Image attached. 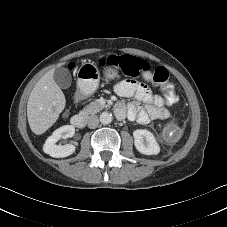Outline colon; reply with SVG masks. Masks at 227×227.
Here are the masks:
<instances>
[{
  "mask_svg": "<svg viewBox=\"0 0 227 227\" xmlns=\"http://www.w3.org/2000/svg\"><path fill=\"white\" fill-rule=\"evenodd\" d=\"M102 64H107L131 77L145 76L151 78L161 85L163 95L168 103L173 104L178 101L176 82L169 78L168 71L162 66L141 62L133 57L118 58L116 56L109 57ZM183 128L184 123L181 125V129Z\"/></svg>",
  "mask_w": 227,
  "mask_h": 227,
  "instance_id": "5ec220e1",
  "label": "colon"
}]
</instances>
